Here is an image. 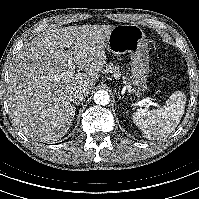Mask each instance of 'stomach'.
<instances>
[{"label":"stomach","mask_w":199,"mask_h":199,"mask_svg":"<svg viewBox=\"0 0 199 199\" xmlns=\"http://www.w3.org/2000/svg\"><path fill=\"white\" fill-rule=\"evenodd\" d=\"M105 48L113 54L130 55L132 85L140 90L149 73L148 44L143 30L137 25H117L107 37Z\"/></svg>","instance_id":"0dacf381"}]
</instances>
